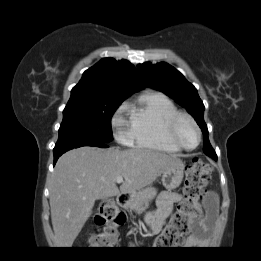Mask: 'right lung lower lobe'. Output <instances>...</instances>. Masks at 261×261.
<instances>
[{"label": "right lung lower lobe", "mask_w": 261, "mask_h": 261, "mask_svg": "<svg viewBox=\"0 0 261 261\" xmlns=\"http://www.w3.org/2000/svg\"><path fill=\"white\" fill-rule=\"evenodd\" d=\"M82 146H97L100 148H106L108 147L105 143L102 142H80V143H74V144H68V145H62V146H55L54 148V164L56 163L57 159L66 151L71 150L73 148H78Z\"/></svg>", "instance_id": "1"}]
</instances>
